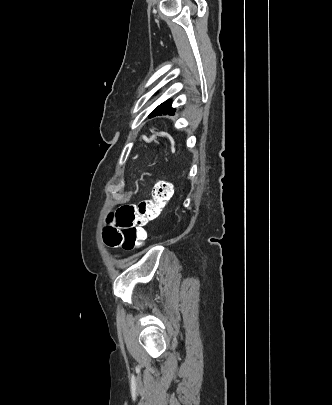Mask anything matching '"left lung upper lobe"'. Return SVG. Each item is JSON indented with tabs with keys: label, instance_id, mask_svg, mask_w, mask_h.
Instances as JSON below:
<instances>
[{
	"label": "left lung upper lobe",
	"instance_id": "1",
	"mask_svg": "<svg viewBox=\"0 0 332 405\" xmlns=\"http://www.w3.org/2000/svg\"><path fill=\"white\" fill-rule=\"evenodd\" d=\"M158 107H160V108H162V109H166V110L175 111V109H173V108L171 107V103L168 102V101H166V102L160 104Z\"/></svg>",
	"mask_w": 332,
	"mask_h": 405
}]
</instances>
